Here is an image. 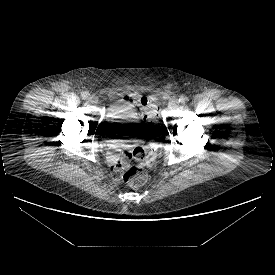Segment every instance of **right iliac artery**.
Returning <instances> with one entry per match:
<instances>
[{"mask_svg": "<svg viewBox=\"0 0 275 275\" xmlns=\"http://www.w3.org/2000/svg\"><path fill=\"white\" fill-rule=\"evenodd\" d=\"M81 96L83 99H87L89 97V93L87 91H84L81 93Z\"/></svg>", "mask_w": 275, "mask_h": 275, "instance_id": "82829eb1", "label": "right iliac artery"}]
</instances>
